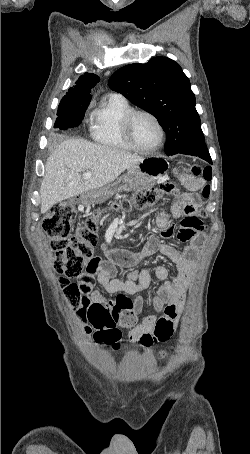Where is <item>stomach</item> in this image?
Returning a JSON list of instances; mask_svg holds the SVG:
<instances>
[{
	"label": "stomach",
	"instance_id": "0dacf381",
	"mask_svg": "<svg viewBox=\"0 0 250 454\" xmlns=\"http://www.w3.org/2000/svg\"><path fill=\"white\" fill-rule=\"evenodd\" d=\"M167 167L161 158H146L127 170V175L116 182L101 188L89 190L81 195V201L86 204L102 203L122 189H148L164 178Z\"/></svg>",
	"mask_w": 250,
	"mask_h": 454
}]
</instances>
